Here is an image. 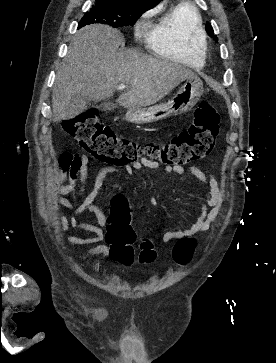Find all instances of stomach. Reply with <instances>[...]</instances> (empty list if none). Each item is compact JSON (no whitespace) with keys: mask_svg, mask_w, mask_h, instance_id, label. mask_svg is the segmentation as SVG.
<instances>
[{"mask_svg":"<svg viewBox=\"0 0 276 363\" xmlns=\"http://www.w3.org/2000/svg\"><path fill=\"white\" fill-rule=\"evenodd\" d=\"M202 93V81L197 76L189 78L168 102L148 108L127 109L125 118L131 123L145 124L177 116L191 110L200 100Z\"/></svg>","mask_w":276,"mask_h":363,"instance_id":"stomach-1","label":"stomach"}]
</instances>
